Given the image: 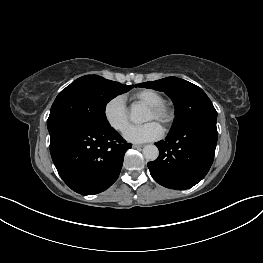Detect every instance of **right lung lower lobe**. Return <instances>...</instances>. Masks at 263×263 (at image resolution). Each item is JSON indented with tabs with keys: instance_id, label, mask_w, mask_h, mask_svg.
Listing matches in <instances>:
<instances>
[{
	"instance_id": "right-lung-lower-lobe-1",
	"label": "right lung lower lobe",
	"mask_w": 263,
	"mask_h": 263,
	"mask_svg": "<svg viewBox=\"0 0 263 263\" xmlns=\"http://www.w3.org/2000/svg\"><path fill=\"white\" fill-rule=\"evenodd\" d=\"M50 153L69 188L82 195L100 193L118 178L131 148L111 127L62 122L51 127Z\"/></svg>"
}]
</instances>
